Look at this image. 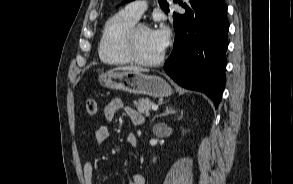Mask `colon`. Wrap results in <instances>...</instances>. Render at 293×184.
Wrapping results in <instances>:
<instances>
[{
    "label": "colon",
    "mask_w": 293,
    "mask_h": 184,
    "mask_svg": "<svg viewBox=\"0 0 293 184\" xmlns=\"http://www.w3.org/2000/svg\"><path fill=\"white\" fill-rule=\"evenodd\" d=\"M86 111L90 116H93L97 112V102L94 98H88L86 101Z\"/></svg>",
    "instance_id": "colon-1"
}]
</instances>
